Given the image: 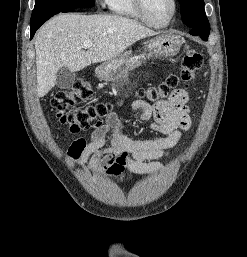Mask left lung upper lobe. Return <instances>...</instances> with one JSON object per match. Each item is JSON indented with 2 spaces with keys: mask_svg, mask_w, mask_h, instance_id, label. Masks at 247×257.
<instances>
[{
  "mask_svg": "<svg viewBox=\"0 0 247 257\" xmlns=\"http://www.w3.org/2000/svg\"><path fill=\"white\" fill-rule=\"evenodd\" d=\"M183 23L189 28L209 32L210 26L204 10V0H179Z\"/></svg>",
  "mask_w": 247,
  "mask_h": 257,
  "instance_id": "obj_1",
  "label": "left lung upper lobe"
}]
</instances>
